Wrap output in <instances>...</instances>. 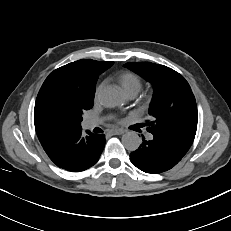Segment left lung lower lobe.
Wrapping results in <instances>:
<instances>
[{
  "label": "left lung lower lobe",
  "mask_w": 231,
  "mask_h": 231,
  "mask_svg": "<svg viewBox=\"0 0 231 231\" xmlns=\"http://www.w3.org/2000/svg\"><path fill=\"white\" fill-rule=\"evenodd\" d=\"M149 141L143 139L140 147L130 154V161L138 169L159 174L174 167L187 153L192 142L186 139L152 133Z\"/></svg>",
  "instance_id": "0a47b994"
}]
</instances>
